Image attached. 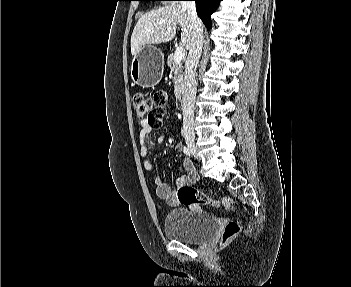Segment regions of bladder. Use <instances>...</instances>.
Masks as SVG:
<instances>
[{
	"label": "bladder",
	"mask_w": 351,
	"mask_h": 287,
	"mask_svg": "<svg viewBox=\"0 0 351 287\" xmlns=\"http://www.w3.org/2000/svg\"><path fill=\"white\" fill-rule=\"evenodd\" d=\"M218 227V219L211 212L201 215L200 211L185 208L168 212L164 221L167 238L187 244H200L210 239Z\"/></svg>",
	"instance_id": "31cf9c89"
}]
</instances>
